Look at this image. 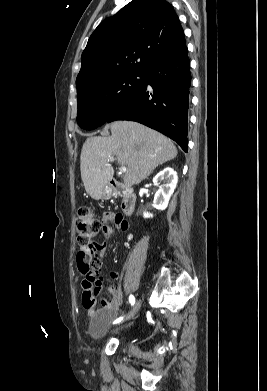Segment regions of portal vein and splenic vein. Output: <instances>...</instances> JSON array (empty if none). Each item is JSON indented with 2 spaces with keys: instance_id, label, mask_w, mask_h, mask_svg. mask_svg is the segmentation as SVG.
Masks as SVG:
<instances>
[{
  "instance_id": "18ae733b",
  "label": "portal vein and splenic vein",
  "mask_w": 267,
  "mask_h": 391,
  "mask_svg": "<svg viewBox=\"0 0 267 391\" xmlns=\"http://www.w3.org/2000/svg\"><path fill=\"white\" fill-rule=\"evenodd\" d=\"M113 160H114V157H109L108 162H112ZM119 171H120V173H125L127 171V168L125 166H121L119 168Z\"/></svg>"
}]
</instances>
